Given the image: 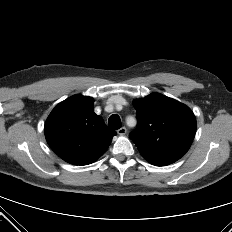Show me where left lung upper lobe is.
<instances>
[{"label": "left lung upper lobe", "instance_id": "5c2ea615", "mask_svg": "<svg viewBox=\"0 0 232 232\" xmlns=\"http://www.w3.org/2000/svg\"><path fill=\"white\" fill-rule=\"evenodd\" d=\"M133 105L138 130L130 137L148 162L164 166L186 154L196 132V119L189 107L160 93L134 100Z\"/></svg>", "mask_w": 232, "mask_h": 232}]
</instances>
